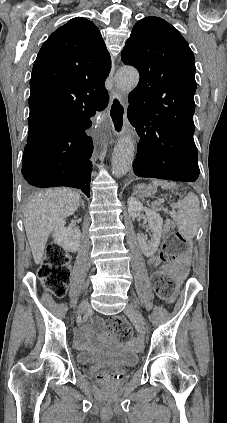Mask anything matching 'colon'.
I'll list each match as a JSON object with an SVG mask.
<instances>
[{
	"label": "colon",
	"instance_id": "5ec220e1",
	"mask_svg": "<svg viewBox=\"0 0 227 423\" xmlns=\"http://www.w3.org/2000/svg\"><path fill=\"white\" fill-rule=\"evenodd\" d=\"M170 225V224H169ZM186 243L178 232H171L159 255L160 261L167 263L178 259L185 251ZM39 276L45 288L54 296L61 297L70 283L71 265L70 256L58 245H52L46 251L44 261L39 268ZM152 284L161 298H168L173 291V281L165 272L156 270L153 272ZM113 336L120 339H127L132 334L130 325L122 318H113L109 322ZM96 379L105 382L111 377L108 370H101L96 373Z\"/></svg>",
	"mask_w": 227,
	"mask_h": 423
}]
</instances>
